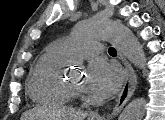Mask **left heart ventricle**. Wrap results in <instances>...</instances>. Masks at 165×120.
<instances>
[{
  "label": "left heart ventricle",
  "mask_w": 165,
  "mask_h": 120,
  "mask_svg": "<svg viewBox=\"0 0 165 120\" xmlns=\"http://www.w3.org/2000/svg\"><path fill=\"white\" fill-rule=\"evenodd\" d=\"M70 83L76 87L85 89L86 86V78L82 75H79L75 78H73L72 80H70Z\"/></svg>",
  "instance_id": "b2bd125f"
}]
</instances>
